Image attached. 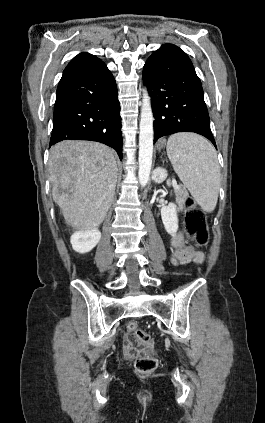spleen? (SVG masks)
Listing matches in <instances>:
<instances>
[{"instance_id": "spleen-1", "label": "spleen", "mask_w": 265, "mask_h": 423, "mask_svg": "<svg viewBox=\"0 0 265 423\" xmlns=\"http://www.w3.org/2000/svg\"><path fill=\"white\" fill-rule=\"evenodd\" d=\"M172 166L203 211L212 212L218 201L220 167L212 144L195 133H176L167 141Z\"/></svg>"}]
</instances>
